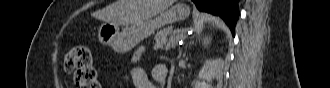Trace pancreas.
<instances>
[{
  "instance_id": "pancreas-1",
  "label": "pancreas",
  "mask_w": 330,
  "mask_h": 88,
  "mask_svg": "<svg viewBox=\"0 0 330 88\" xmlns=\"http://www.w3.org/2000/svg\"><path fill=\"white\" fill-rule=\"evenodd\" d=\"M180 31H174L172 32L169 28H165L155 35V45L154 49H164V50H170L171 48H174L178 46V41L173 37L174 34H178ZM170 35L171 37L168 39L167 36Z\"/></svg>"
}]
</instances>
